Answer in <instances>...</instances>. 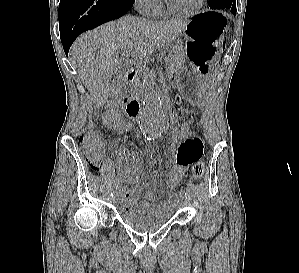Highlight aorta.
Instances as JSON below:
<instances>
[{"label": "aorta", "instance_id": "aorta-1", "mask_svg": "<svg viewBox=\"0 0 299 273\" xmlns=\"http://www.w3.org/2000/svg\"><path fill=\"white\" fill-rule=\"evenodd\" d=\"M139 126L147 140L160 136L165 129V115L154 74H149L144 79L143 108Z\"/></svg>", "mask_w": 299, "mask_h": 273}]
</instances>
